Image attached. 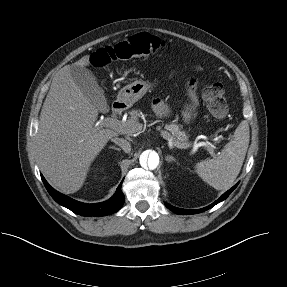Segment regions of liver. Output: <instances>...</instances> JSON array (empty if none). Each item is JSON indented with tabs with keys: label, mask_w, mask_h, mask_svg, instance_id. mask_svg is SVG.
<instances>
[{
	"label": "liver",
	"mask_w": 287,
	"mask_h": 287,
	"mask_svg": "<svg viewBox=\"0 0 287 287\" xmlns=\"http://www.w3.org/2000/svg\"><path fill=\"white\" fill-rule=\"evenodd\" d=\"M89 63L87 55L73 65ZM97 116L96 106L75 84L70 65L61 68L43 103L35 143L40 170L63 193H75L83 186L91 163L118 135L115 130L95 128Z\"/></svg>",
	"instance_id": "6515ba94"
}]
</instances>
